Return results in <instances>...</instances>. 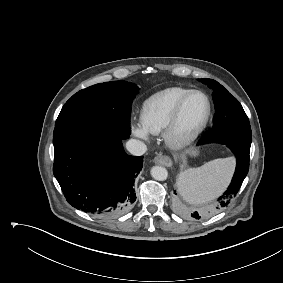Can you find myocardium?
<instances>
[{
  "label": "myocardium",
  "mask_w": 283,
  "mask_h": 283,
  "mask_svg": "<svg viewBox=\"0 0 283 283\" xmlns=\"http://www.w3.org/2000/svg\"><path fill=\"white\" fill-rule=\"evenodd\" d=\"M195 94L201 95L205 100L206 111L204 117L202 121L198 124V126L194 128L191 132H189L186 135H180L177 132V126H178L181 110L185 102L188 100V98ZM210 115H211V102L207 94L201 90H196V89L189 90L186 94H184L180 98V100L175 105L172 114L169 118V121L163 130V138L166 145L171 149H182L193 143L196 140V138L201 134V132L205 129L209 121Z\"/></svg>",
  "instance_id": "myocardium-1"
}]
</instances>
